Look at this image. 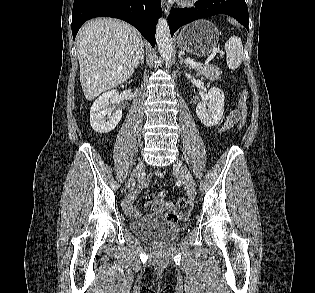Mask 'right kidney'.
<instances>
[{
  "label": "right kidney",
  "instance_id": "obj_1",
  "mask_svg": "<svg viewBox=\"0 0 315 293\" xmlns=\"http://www.w3.org/2000/svg\"><path fill=\"white\" fill-rule=\"evenodd\" d=\"M119 93L111 90L96 99L90 109L91 127L98 133L107 134L115 129L122 118V110H115Z\"/></svg>",
  "mask_w": 315,
  "mask_h": 293
}]
</instances>
